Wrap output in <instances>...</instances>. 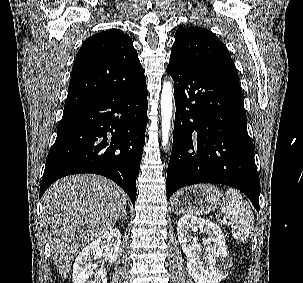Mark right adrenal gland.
I'll return each mask as SVG.
<instances>
[{
    "mask_svg": "<svg viewBox=\"0 0 303 283\" xmlns=\"http://www.w3.org/2000/svg\"><path fill=\"white\" fill-rule=\"evenodd\" d=\"M121 217H124L125 219H127V211H126V209L124 210V212H123V214H122ZM120 219H121V218H120Z\"/></svg>",
    "mask_w": 303,
    "mask_h": 283,
    "instance_id": "right-adrenal-gland-1",
    "label": "right adrenal gland"
}]
</instances>
